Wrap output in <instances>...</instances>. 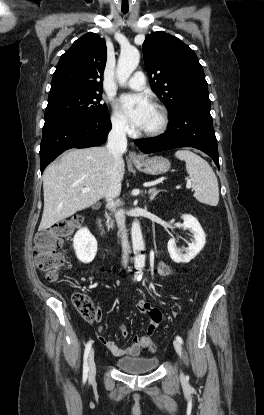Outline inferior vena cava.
Instances as JSON below:
<instances>
[{"label": "inferior vena cava", "instance_id": "1", "mask_svg": "<svg viewBox=\"0 0 264 415\" xmlns=\"http://www.w3.org/2000/svg\"><path fill=\"white\" fill-rule=\"evenodd\" d=\"M107 149L109 154L113 157V168L109 182L106 197L116 198L121 192V178H120V164L122 163V155L127 149L126 126L122 122H115L108 135ZM115 218L118 225V233L121 238L123 249V266L127 267L128 263V236L125 226V214L123 210L115 212Z\"/></svg>", "mask_w": 264, "mask_h": 415}]
</instances>
